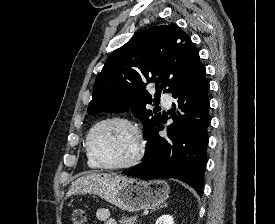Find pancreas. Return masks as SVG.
I'll return each instance as SVG.
<instances>
[{
    "instance_id": "obj_1",
    "label": "pancreas",
    "mask_w": 275,
    "mask_h": 224,
    "mask_svg": "<svg viewBox=\"0 0 275 224\" xmlns=\"http://www.w3.org/2000/svg\"><path fill=\"white\" fill-rule=\"evenodd\" d=\"M137 216L135 217H122L121 220L119 221L120 224H135V222L137 221Z\"/></svg>"
}]
</instances>
